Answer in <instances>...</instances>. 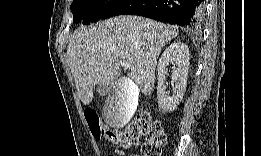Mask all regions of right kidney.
I'll return each instance as SVG.
<instances>
[{"label":"right kidney","instance_id":"right-kidney-1","mask_svg":"<svg viewBox=\"0 0 261 156\" xmlns=\"http://www.w3.org/2000/svg\"><path fill=\"white\" fill-rule=\"evenodd\" d=\"M169 65H172V81L175 83L172 96L165 91V74ZM157 70V98L159 107L163 111L169 112L177 107L186 90L189 70L188 46L182 42L170 44L161 55ZM119 85H121L120 82Z\"/></svg>","mask_w":261,"mask_h":156}]
</instances>
